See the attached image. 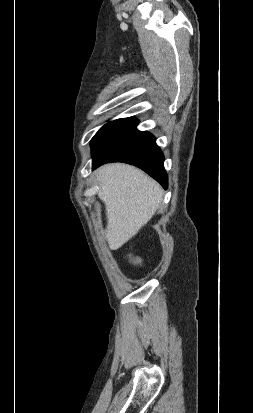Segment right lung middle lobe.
Listing matches in <instances>:
<instances>
[{
  "label": "right lung middle lobe",
  "instance_id": "obj_1",
  "mask_svg": "<svg viewBox=\"0 0 253 413\" xmlns=\"http://www.w3.org/2000/svg\"><path fill=\"white\" fill-rule=\"evenodd\" d=\"M138 123V119L130 117L105 124L91 140L93 161L104 157L116 146L137 132L136 126Z\"/></svg>",
  "mask_w": 253,
  "mask_h": 413
}]
</instances>
